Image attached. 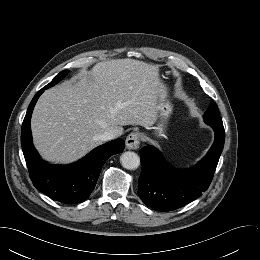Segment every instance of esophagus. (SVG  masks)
Returning <instances> with one entry per match:
<instances>
[{"label": "esophagus", "mask_w": 260, "mask_h": 260, "mask_svg": "<svg viewBox=\"0 0 260 260\" xmlns=\"http://www.w3.org/2000/svg\"><path fill=\"white\" fill-rule=\"evenodd\" d=\"M142 135L138 132L130 133L126 138V148L136 150L140 146Z\"/></svg>", "instance_id": "obj_1"}]
</instances>
